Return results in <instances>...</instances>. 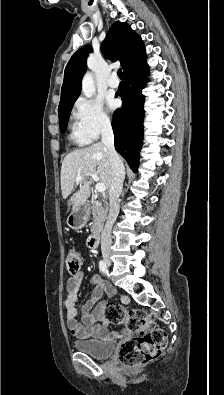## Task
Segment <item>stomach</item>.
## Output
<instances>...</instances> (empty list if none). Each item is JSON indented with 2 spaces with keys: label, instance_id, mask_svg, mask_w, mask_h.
<instances>
[{
  "label": "stomach",
  "instance_id": "0dacf381",
  "mask_svg": "<svg viewBox=\"0 0 224 395\" xmlns=\"http://www.w3.org/2000/svg\"><path fill=\"white\" fill-rule=\"evenodd\" d=\"M89 218L90 207L88 204L84 203L72 210L67 217L66 223L70 228L78 230L86 226Z\"/></svg>",
  "mask_w": 224,
  "mask_h": 395
}]
</instances>
